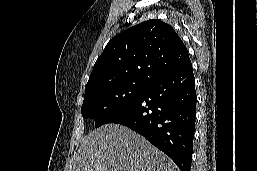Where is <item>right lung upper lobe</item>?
Returning <instances> with one entry per match:
<instances>
[{
	"label": "right lung upper lobe",
	"mask_w": 257,
	"mask_h": 171,
	"mask_svg": "<svg viewBox=\"0 0 257 171\" xmlns=\"http://www.w3.org/2000/svg\"><path fill=\"white\" fill-rule=\"evenodd\" d=\"M190 62L187 48L173 27L161 20H148L108 42L85 92L116 83L150 84Z\"/></svg>",
	"instance_id": "1"
}]
</instances>
